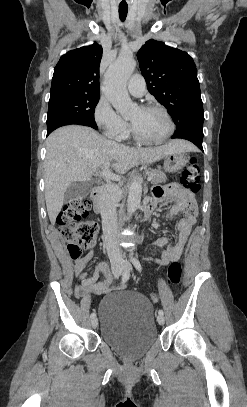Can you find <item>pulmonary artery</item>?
<instances>
[{
  "label": "pulmonary artery",
  "instance_id": "pulmonary-artery-1",
  "mask_svg": "<svg viewBox=\"0 0 247 407\" xmlns=\"http://www.w3.org/2000/svg\"><path fill=\"white\" fill-rule=\"evenodd\" d=\"M128 91L137 97H141L145 92V81L142 75H133L127 83Z\"/></svg>",
  "mask_w": 247,
  "mask_h": 407
}]
</instances>
